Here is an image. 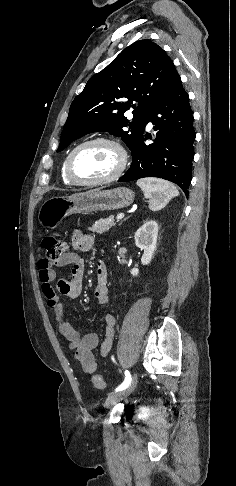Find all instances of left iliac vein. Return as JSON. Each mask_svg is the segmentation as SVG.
<instances>
[{
  "label": "left iliac vein",
  "mask_w": 236,
  "mask_h": 486,
  "mask_svg": "<svg viewBox=\"0 0 236 486\" xmlns=\"http://www.w3.org/2000/svg\"><path fill=\"white\" fill-rule=\"evenodd\" d=\"M138 382L137 374L134 373L133 379L129 386L121 391L115 392L110 394L105 400V406L111 407L118 403L120 400L124 399L125 397L129 396L133 390L135 389Z\"/></svg>",
  "instance_id": "1"
}]
</instances>
